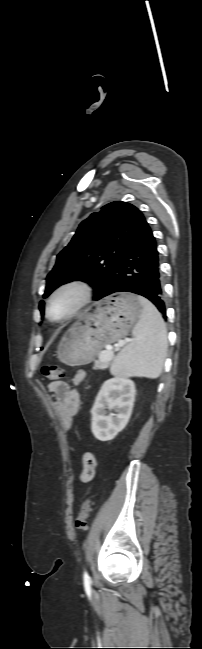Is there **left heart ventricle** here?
<instances>
[{
	"mask_svg": "<svg viewBox=\"0 0 202 649\" xmlns=\"http://www.w3.org/2000/svg\"><path fill=\"white\" fill-rule=\"evenodd\" d=\"M76 299L77 295L73 291H66L58 295L50 306L53 317L61 318L65 316L75 304Z\"/></svg>",
	"mask_w": 202,
	"mask_h": 649,
	"instance_id": "left-heart-ventricle-1",
	"label": "left heart ventricle"
}]
</instances>
